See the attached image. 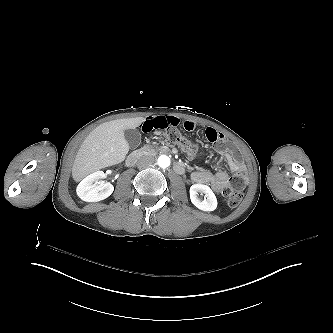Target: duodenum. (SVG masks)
<instances>
[{
    "mask_svg": "<svg viewBox=\"0 0 333 333\" xmlns=\"http://www.w3.org/2000/svg\"><path fill=\"white\" fill-rule=\"evenodd\" d=\"M142 155H143V151H141V150H136V151L131 152L126 158V164L128 166H134ZM174 169L177 173H183V171H184L183 165L179 162H175Z\"/></svg>",
    "mask_w": 333,
    "mask_h": 333,
    "instance_id": "410a0bca",
    "label": "duodenum"
}]
</instances>
